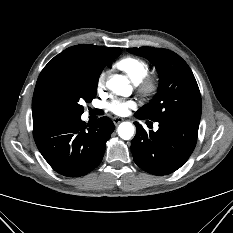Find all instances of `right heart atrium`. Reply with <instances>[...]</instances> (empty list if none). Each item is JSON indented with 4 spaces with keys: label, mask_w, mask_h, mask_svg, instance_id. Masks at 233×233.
<instances>
[{
    "label": "right heart atrium",
    "mask_w": 233,
    "mask_h": 233,
    "mask_svg": "<svg viewBox=\"0 0 233 233\" xmlns=\"http://www.w3.org/2000/svg\"><path fill=\"white\" fill-rule=\"evenodd\" d=\"M106 76V71H101L96 79V91L98 93H102L105 89Z\"/></svg>",
    "instance_id": "1"
}]
</instances>
